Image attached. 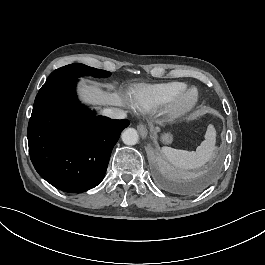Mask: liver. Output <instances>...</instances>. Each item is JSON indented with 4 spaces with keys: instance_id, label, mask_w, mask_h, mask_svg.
<instances>
[{
    "instance_id": "obj_1",
    "label": "liver",
    "mask_w": 265,
    "mask_h": 265,
    "mask_svg": "<svg viewBox=\"0 0 265 265\" xmlns=\"http://www.w3.org/2000/svg\"><path fill=\"white\" fill-rule=\"evenodd\" d=\"M83 93L86 99L95 101L99 104L108 103L111 105H118L120 102L117 95H105L101 92L100 88L97 85L85 83L83 85Z\"/></svg>"
}]
</instances>
